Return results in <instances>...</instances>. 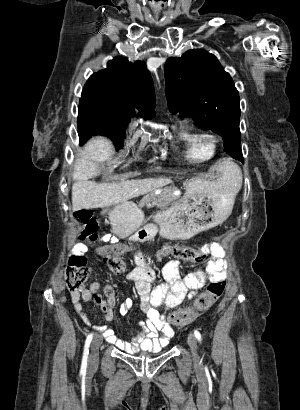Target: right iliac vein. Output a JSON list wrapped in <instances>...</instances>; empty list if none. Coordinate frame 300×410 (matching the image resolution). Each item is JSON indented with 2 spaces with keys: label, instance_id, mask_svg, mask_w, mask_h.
I'll return each instance as SVG.
<instances>
[{
  "label": "right iliac vein",
  "instance_id": "right-iliac-vein-1",
  "mask_svg": "<svg viewBox=\"0 0 300 410\" xmlns=\"http://www.w3.org/2000/svg\"><path fill=\"white\" fill-rule=\"evenodd\" d=\"M101 343H102V337L100 335H96L91 343V348H90L91 364H94L98 360L99 347Z\"/></svg>",
  "mask_w": 300,
  "mask_h": 410
}]
</instances>
